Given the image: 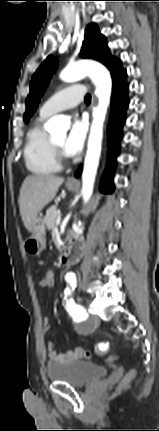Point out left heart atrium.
Here are the masks:
<instances>
[{
  "label": "left heart atrium",
  "mask_w": 159,
  "mask_h": 431,
  "mask_svg": "<svg viewBox=\"0 0 159 431\" xmlns=\"http://www.w3.org/2000/svg\"><path fill=\"white\" fill-rule=\"evenodd\" d=\"M85 137H86L85 121L82 119H74L73 122L71 123L69 133L63 143L65 152L70 156L79 154L82 151Z\"/></svg>",
  "instance_id": "obj_1"
}]
</instances>
